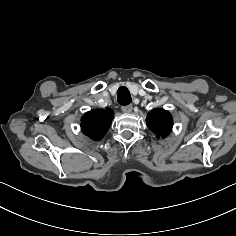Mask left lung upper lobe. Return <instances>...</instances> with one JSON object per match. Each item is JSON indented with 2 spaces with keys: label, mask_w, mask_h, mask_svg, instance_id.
<instances>
[{
  "label": "left lung upper lobe",
  "mask_w": 236,
  "mask_h": 236,
  "mask_svg": "<svg viewBox=\"0 0 236 236\" xmlns=\"http://www.w3.org/2000/svg\"><path fill=\"white\" fill-rule=\"evenodd\" d=\"M146 124L157 135V138H165L172 130L173 119L168 111L154 109L147 115Z\"/></svg>",
  "instance_id": "left-lung-upper-lobe-1"
}]
</instances>
